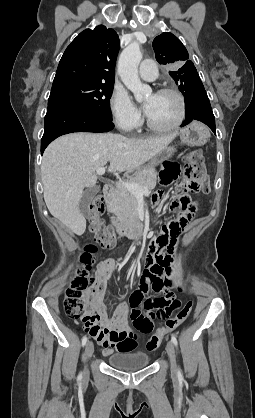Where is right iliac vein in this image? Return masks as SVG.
I'll use <instances>...</instances> for the list:
<instances>
[{
    "instance_id": "obj_1",
    "label": "right iliac vein",
    "mask_w": 255,
    "mask_h": 418,
    "mask_svg": "<svg viewBox=\"0 0 255 418\" xmlns=\"http://www.w3.org/2000/svg\"><path fill=\"white\" fill-rule=\"evenodd\" d=\"M93 352H94V345H93L92 342L89 341V342H87V344L85 346V357H86L87 361L90 360V358L93 355ZM87 373H88V368L86 367L85 368V374H87Z\"/></svg>"
}]
</instances>
